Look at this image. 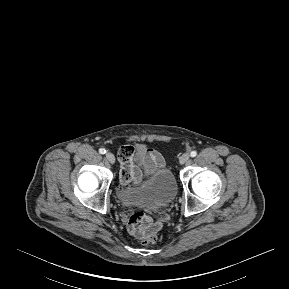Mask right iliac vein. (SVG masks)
I'll return each instance as SVG.
<instances>
[{"instance_id":"1","label":"right iliac vein","mask_w":289,"mask_h":289,"mask_svg":"<svg viewBox=\"0 0 289 289\" xmlns=\"http://www.w3.org/2000/svg\"><path fill=\"white\" fill-rule=\"evenodd\" d=\"M106 159L111 163H115V156L111 152L106 153Z\"/></svg>"}]
</instances>
